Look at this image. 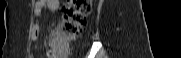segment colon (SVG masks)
Returning a JSON list of instances; mask_svg holds the SVG:
<instances>
[{
    "mask_svg": "<svg viewBox=\"0 0 181 58\" xmlns=\"http://www.w3.org/2000/svg\"><path fill=\"white\" fill-rule=\"evenodd\" d=\"M91 10V0H67L62 8V23L50 39L51 58H65L69 43L81 34Z\"/></svg>",
    "mask_w": 181,
    "mask_h": 58,
    "instance_id": "1",
    "label": "colon"
}]
</instances>
